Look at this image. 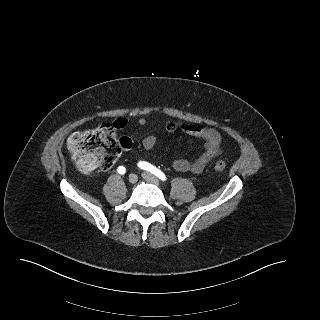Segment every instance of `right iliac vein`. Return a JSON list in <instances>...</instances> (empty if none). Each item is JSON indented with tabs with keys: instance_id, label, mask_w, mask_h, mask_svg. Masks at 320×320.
<instances>
[{
	"instance_id": "1",
	"label": "right iliac vein",
	"mask_w": 320,
	"mask_h": 320,
	"mask_svg": "<svg viewBox=\"0 0 320 320\" xmlns=\"http://www.w3.org/2000/svg\"><path fill=\"white\" fill-rule=\"evenodd\" d=\"M138 178L135 174H130L129 175V178H128V181L129 183L131 184H135L137 182Z\"/></svg>"
}]
</instances>
